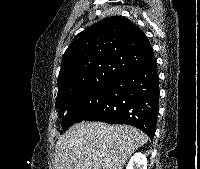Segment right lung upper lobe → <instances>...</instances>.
<instances>
[{
    "label": "right lung upper lobe",
    "mask_w": 200,
    "mask_h": 169,
    "mask_svg": "<svg viewBox=\"0 0 200 169\" xmlns=\"http://www.w3.org/2000/svg\"><path fill=\"white\" fill-rule=\"evenodd\" d=\"M146 35L127 18L112 16L75 36L63 55L58 77L60 100L104 79L155 63Z\"/></svg>",
    "instance_id": "right-lung-upper-lobe-1"
}]
</instances>
